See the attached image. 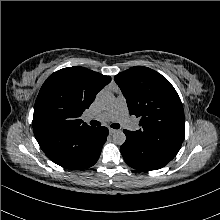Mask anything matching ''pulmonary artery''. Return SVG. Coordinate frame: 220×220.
<instances>
[{"label":"pulmonary artery","instance_id":"obj_1","mask_svg":"<svg viewBox=\"0 0 220 220\" xmlns=\"http://www.w3.org/2000/svg\"><path fill=\"white\" fill-rule=\"evenodd\" d=\"M90 119L98 120L101 122L118 121L126 129L134 130L136 125L128 114L126 99L122 94H118L113 107L98 116H90Z\"/></svg>","mask_w":220,"mask_h":220}]
</instances>
